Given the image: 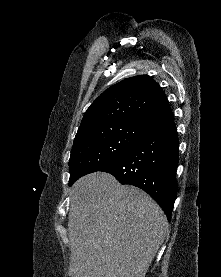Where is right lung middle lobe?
<instances>
[{
    "mask_svg": "<svg viewBox=\"0 0 221 277\" xmlns=\"http://www.w3.org/2000/svg\"><path fill=\"white\" fill-rule=\"evenodd\" d=\"M140 133L139 122L100 125L77 133L69 160V185L122 158Z\"/></svg>",
    "mask_w": 221,
    "mask_h": 277,
    "instance_id": "obj_1",
    "label": "right lung middle lobe"
}]
</instances>
